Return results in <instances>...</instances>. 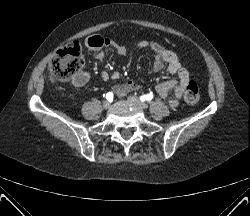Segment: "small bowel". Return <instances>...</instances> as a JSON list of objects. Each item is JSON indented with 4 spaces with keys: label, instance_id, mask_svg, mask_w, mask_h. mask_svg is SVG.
I'll return each mask as SVG.
<instances>
[{
    "label": "small bowel",
    "instance_id": "obj_1",
    "mask_svg": "<svg viewBox=\"0 0 250 216\" xmlns=\"http://www.w3.org/2000/svg\"><path fill=\"white\" fill-rule=\"evenodd\" d=\"M86 46L91 50H100L97 59L103 61L105 53L101 51L103 48H113L117 54L125 55L127 49L122 45H117L112 41L105 39L99 35L91 36L86 41ZM140 48H147L154 54V62L150 66V72H159L167 64L169 78L156 85V92L162 98H168L172 107L178 105V100L185 92L186 86L190 81L189 72L184 68L179 56L173 51L165 49L162 45L155 42L142 41L138 44ZM108 74L103 73L101 80H107ZM89 81V74L85 71H79L72 77V84L82 87ZM138 86L133 81L114 87L115 92L119 96H124L129 92L137 90Z\"/></svg>",
    "mask_w": 250,
    "mask_h": 216
}]
</instances>
